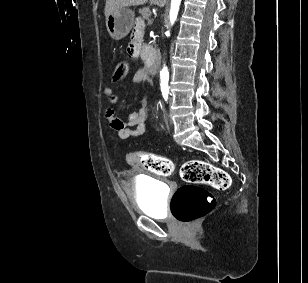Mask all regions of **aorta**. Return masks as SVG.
Returning a JSON list of instances; mask_svg holds the SVG:
<instances>
[{"mask_svg": "<svg viewBox=\"0 0 308 283\" xmlns=\"http://www.w3.org/2000/svg\"><path fill=\"white\" fill-rule=\"evenodd\" d=\"M180 3H181V0H171V7H170V14H169L171 25H173L177 19ZM167 33H169V31ZM160 79H161V87L163 88L168 87L169 72L166 66H164L160 72Z\"/></svg>", "mask_w": 308, "mask_h": 283, "instance_id": "aorta-1", "label": "aorta"}]
</instances>
